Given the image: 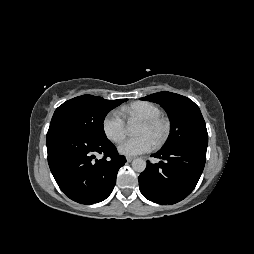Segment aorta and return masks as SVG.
Listing matches in <instances>:
<instances>
[{
  "label": "aorta",
  "mask_w": 254,
  "mask_h": 254,
  "mask_svg": "<svg viewBox=\"0 0 254 254\" xmlns=\"http://www.w3.org/2000/svg\"><path fill=\"white\" fill-rule=\"evenodd\" d=\"M137 131V127L134 124H130L127 127V132L132 135L134 133H136ZM146 161L142 158H136L132 161V168L136 171V172H143L146 169Z\"/></svg>",
  "instance_id": "obj_1"
}]
</instances>
